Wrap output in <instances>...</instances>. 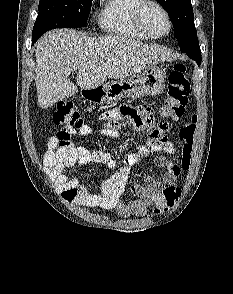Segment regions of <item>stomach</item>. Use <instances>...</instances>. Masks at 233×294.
I'll use <instances>...</instances> for the list:
<instances>
[{
  "instance_id": "1",
  "label": "stomach",
  "mask_w": 233,
  "mask_h": 294,
  "mask_svg": "<svg viewBox=\"0 0 233 294\" xmlns=\"http://www.w3.org/2000/svg\"><path fill=\"white\" fill-rule=\"evenodd\" d=\"M166 73L157 66L146 68L139 74L114 80L91 90H83L85 98L102 104H113L126 97L133 99L155 96L165 88Z\"/></svg>"
}]
</instances>
